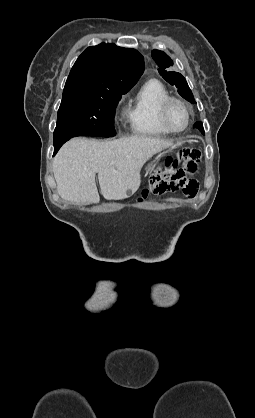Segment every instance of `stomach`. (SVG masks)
I'll return each mask as SVG.
<instances>
[{
	"instance_id": "1",
	"label": "stomach",
	"mask_w": 255,
	"mask_h": 418,
	"mask_svg": "<svg viewBox=\"0 0 255 418\" xmlns=\"http://www.w3.org/2000/svg\"><path fill=\"white\" fill-rule=\"evenodd\" d=\"M154 168L153 164H150L147 168H146V173L148 174L149 172H151Z\"/></svg>"
}]
</instances>
